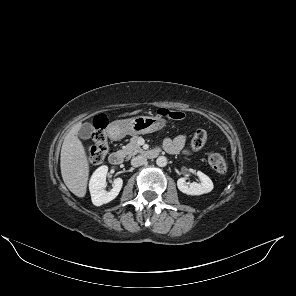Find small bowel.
Here are the masks:
<instances>
[{
  "instance_id": "c3829d8e",
  "label": "small bowel",
  "mask_w": 296,
  "mask_h": 296,
  "mask_svg": "<svg viewBox=\"0 0 296 296\" xmlns=\"http://www.w3.org/2000/svg\"><path fill=\"white\" fill-rule=\"evenodd\" d=\"M188 138L187 134H180L172 139H165L163 142L164 149L169 154H180V153H188L185 149V143Z\"/></svg>"
}]
</instances>
